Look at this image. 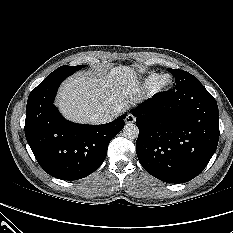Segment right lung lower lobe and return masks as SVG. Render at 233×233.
<instances>
[{"label":"right lung lower lobe","instance_id":"98d812e1","mask_svg":"<svg viewBox=\"0 0 233 233\" xmlns=\"http://www.w3.org/2000/svg\"><path fill=\"white\" fill-rule=\"evenodd\" d=\"M70 73L46 78L29 95L25 136L36 160L49 175L62 180L84 178L104 162L108 144L124 127L125 115L102 125L64 119L54 106L61 82Z\"/></svg>","mask_w":233,"mask_h":233}]
</instances>
